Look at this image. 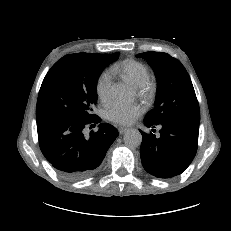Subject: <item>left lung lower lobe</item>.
Segmentation results:
<instances>
[{
    "label": "left lung lower lobe",
    "instance_id": "obj_1",
    "mask_svg": "<svg viewBox=\"0 0 231 231\" xmlns=\"http://www.w3.org/2000/svg\"><path fill=\"white\" fill-rule=\"evenodd\" d=\"M199 122L197 119H183L154 124L144 119L147 127L162 126L159 137L140 131V156L144 169L158 178H171L181 174L195 157Z\"/></svg>",
    "mask_w": 231,
    "mask_h": 231
}]
</instances>
